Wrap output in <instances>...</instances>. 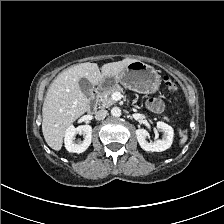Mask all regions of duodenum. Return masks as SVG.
Here are the masks:
<instances>
[{
  "label": "duodenum",
  "mask_w": 224,
  "mask_h": 224,
  "mask_svg": "<svg viewBox=\"0 0 224 224\" xmlns=\"http://www.w3.org/2000/svg\"><path fill=\"white\" fill-rule=\"evenodd\" d=\"M97 94H98V87H96L91 95H90V113L93 112L96 108V104H97Z\"/></svg>",
  "instance_id": "410a0bca"
}]
</instances>
